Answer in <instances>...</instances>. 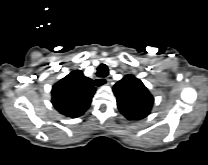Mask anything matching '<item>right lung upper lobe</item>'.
I'll return each instance as SVG.
<instances>
[{"label":"right lung upper lobe","instance_id":"cb5924a9","mask_svg":"<svg viewBox=\"0 0 208 165\" xmlns=\"http://www.w3.org/2000/svg\"><path fill=\"white\" fill-rule=\"evenodd\" d=\"M96 88L80 70H74L52 87V104L61 114L75 118L89 108Z\"/></svg>","mask_w":208,"mask_h":165}]
</instances>
